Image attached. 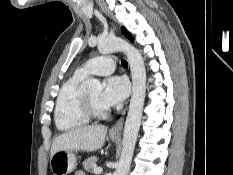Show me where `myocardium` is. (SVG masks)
Instances as JSON below:
<instances>
[{"label":"myocardium","mask_w":233,"mask_h":175,"mask_svg":"<svg viewBox=\"0 0 233 175\" xmlns=\"http://www.w3.org/2000/svg\"><path fill=\"white\" fill-rule=\"evenodd\" d=\"M80 108L83 114L89 119L105 118L109 113L107 108H98L90 99L87 92L82 93Z\"/></svg>","instance_id":"obj_1"}]
</instances>
